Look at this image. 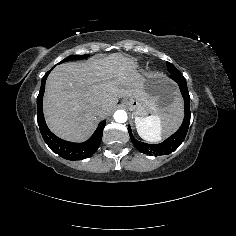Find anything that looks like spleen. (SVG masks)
<instances>
[{"label":"spleen","instance_id":"obj_1","mask_svg":"<svg viewBox=\"0 0 236 236\" xmlns=\"http://www.w3.org/2000/svg\"><path fill=\"white\" fill-rule=\"evenodd\" d=\"M175 104L164 116L154 115L147 118H136L135 127L141 139L150 143L161 142L164 133V123L170 119L175 111Z\"/></svg>","mask_w":236,"mask_h":236}]
</instances>
